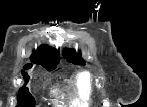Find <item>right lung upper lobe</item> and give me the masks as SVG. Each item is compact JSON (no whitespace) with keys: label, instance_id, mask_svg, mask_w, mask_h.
Listing matches in <instances>:
<instances>
[{"label":"right lung upper lobe","instance_id":"obj_1","mask_svg":"<svg viewBox=\"0 0 147 107\" xmlns=\"http://www.w3.org/2000/svg\"><path fill=\"white\" fill-rule=\"evenodd\" d=\"M32 63L43 67L56 66L59 62V52L47 45H41L30 57ZM31 66L28 64L26 67Z\"/></svg>","mask_w":147,"mask_h":107}]
</instances>
